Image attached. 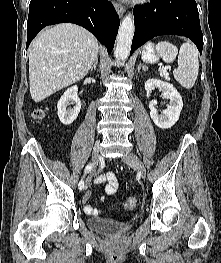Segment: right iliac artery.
Listing matches in <instances>:
<instances>
[{
  "label": "right iliac artery",
  "mask_w": 221,
  "mask_h": 263,
  "mask_svg": "<svg viewBox=\"0 0 221 263\" xmlns=\"http://www.w3.org/2000/svg\"><path fill=\"white\" fill-rule=\"evenodd\" d=\"M92 168H93V164H91V163L88 164V165L85 167L84 173H85V174H86V173H89ZM78 188H79L80 190H82V189L84 188V181H83V179H81V181L79 182Z\"/></svg>",
  "instance_id": "82829eb1"
}]
</instances>
